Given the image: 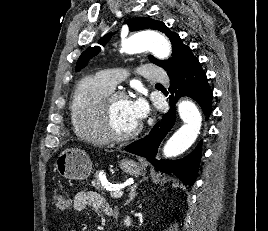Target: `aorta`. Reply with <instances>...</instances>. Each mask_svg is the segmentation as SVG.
Returning <instances> with one entry per match:
<instances>
[{
	"label": "aorta",
	"instance_id": "762f6f07",
	"mask_svg": "<svg viewBox=\"0 0 268 231\" xmlns=\"http://www.w3.org/2000/svg\"><path fill=\"white\" fill-rule=\"evenodd\" d=\"M149 50L158 59H166L171 53L170 42L156 32H142L122 40L121 52L135 54ZM184 124L169 138L163 148L165 157H175L185 152L195 142L201 128L202 117L196 105L188 100L178 105Z\"/></svg>",
	"mask_w": 268,
	"mask_h": 231
}]
</instances>
